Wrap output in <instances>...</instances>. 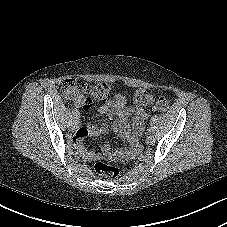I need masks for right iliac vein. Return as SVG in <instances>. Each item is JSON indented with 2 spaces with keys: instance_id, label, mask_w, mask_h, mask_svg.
<instances>
[{
  "instance_id": "1",
  "label": "right iliac vein",
  "mask_w": 227,
  "mask_h": 227,
  "mask_svg": "<svg viewBox=\"0 0 227 227\" xmlns=\"http://www.w3.org/2000/svg\"><path fill=\"white\" fill-rule=\"evenodd\" d=\"M77 128H78V124H77V125H74V124H73V126L71 127V130H72V131H76Z\"/></svg>"
}]
</instances>
